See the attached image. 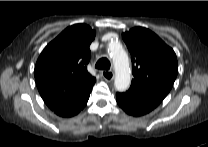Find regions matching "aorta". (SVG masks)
Here are the masks:
<instances>
[{"label":"aorta","instance_id":"762f6f07","mask_svg":"<svg viewBox=\"0 0 208 147\" xmlns=\"http://www.w3.org/2000/svg\"><path fill=\"white\" fill-rule=\"evenodd\" d=\"M109 48L115 68L114 85L116 90L122 92L129 88L131 82L128 55L118 42L111 43Z\"/></svg>","mask_w":208,"mask_h":147}]
</instances>
